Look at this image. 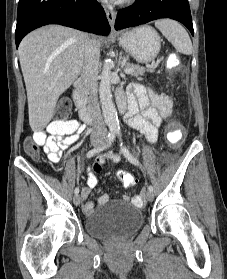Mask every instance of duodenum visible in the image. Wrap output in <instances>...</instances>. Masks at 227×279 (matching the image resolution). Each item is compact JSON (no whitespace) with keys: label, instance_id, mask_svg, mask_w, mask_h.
Listing matches in <instances>:
<instances>
[{"label":"duodenum","instance_id":"duodenum-1","mask_svg":"<svg viewBox=\"0 0 227 279\" xmlns=\"http://www.w3.org/2000/svg\"><path fill=\"white\" fill-rule=\"evenodd\" d=\"M72 97L79 110L82 121L86 124H92L94 122V118L92 115V110L86 103L84 84L82 82L77 81L73 84ZM119 110L123 114L126 112V104L124 102L119 103Z\"/></svg>","mask_w":227,"mask_h":279}]
</instances>
